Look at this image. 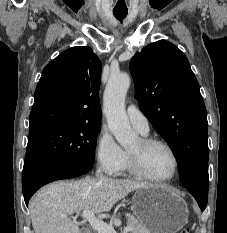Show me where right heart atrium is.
<instances>
[{
    "label": "right heart atrium",
    "instance_id": "d8ad5b80",
    "mask_svg": "<svg viewBox=\"0 0 227 233\" xmlns=\"http://www.w3.org/2000/svg\"><path fill=\"white\" fill-rule=\"evenodd\" d=\"M94 152L99 166L107 174L116 175L123 170L126 152L106 127H102L97 135Z\"/></svg>",
    "mask_w": 227,
    "mask_h": 233
}]
</instances>
